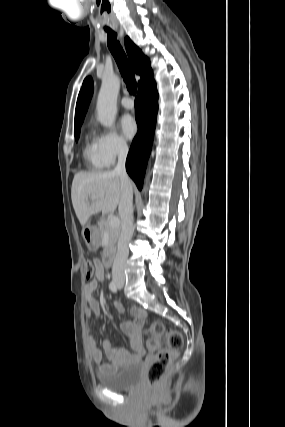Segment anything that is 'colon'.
<instances>
[{"label":"colon","instance_id":"obj_1","mask_svg":"<svg viewBox=\"0 0 285 427\" xmlns=\"http://www.w3.org/2000/svg\"><path fill=\"white\" fill-rule=\"evenodd\" d=\"M85 275L88 280L95 276V263L85 261ZM149 338L146 341L147 350L154 354V360L148 368L146 380L149 386H155L164 376L172 359L182 347V335L174 328H166L162 322L154 321L149 326ZM163 338L165 347L158 349L159 340Z\"/></svg>","mask_w":285,"mask_h":427}]
</instances>
